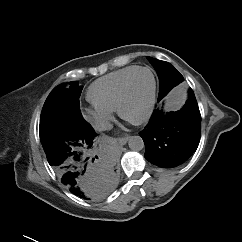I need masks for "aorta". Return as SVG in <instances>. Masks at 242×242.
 <instances>
[{"instance_id": "1", "label": "aorta", "mask_w": 242, "mask_h": 242, "mask_svg": "<svg viewBox=\"0 0 242 242\" xmlns=\"http://www.w3.org/2000/svg\"><path fill=\"white\" fill-rule=\"evenodd\" d=\"M128 145L132 151H140L144 148V141L140 136H131Z\"/></svg>"}]
</instances>
